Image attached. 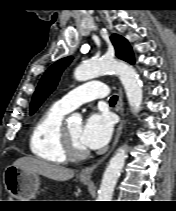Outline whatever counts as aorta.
<instances>
[{
	"label": "aorta",
	"instance_id": "1",
	"mask_svg": "<svg viewBox=\"0 0 176 211\" xmlns=\"http://www.w3.org/2000/svg\"><path fill=\"white\" fill-rule=\"evenodd\" d=\"M109 72L119 74L131 110L138 112L143 99L142 82L132 66L108 59L89 60L75 69L74 77L78 81H87ZM74 116L80 118L78 114ZM126 157V146H121L110 159L103 174L97 201H111Z\"/></svg>",
	"mask_w": 176,
	"mask_h": 211
}]
</instances>
